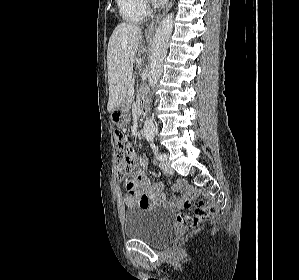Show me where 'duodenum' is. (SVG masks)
Returning a JSON list of instances; mask_svg holds the SVG:
<instances>
[{
    "label": "duodenum",
    "instance_id": "1",
    "mask_svg": "<svg viewBox=\"0 0 299 280\" xmlns=\"http://www.w3.org/2000/svg\"><path fill=\"white\" fill-rule=\"evenodd\" d=\"M140 107H141L142 114L146 115L148 107H147V102H146V100L144 98L141 99Z\"/></svg>",
    "mask_w": 299,
    "mask_h": 280
}]
</instances>
